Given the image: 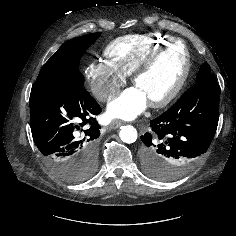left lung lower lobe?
Wrapping results in <instances>:
<instances>
[{
	"label": "left lung lower lobe",
	"instance_id": "1",
	"mask_svg": "<svg viewBox=\"0 0 236 236\" xmlns=\"http://www.w3.org/2000/svg\"><path fill=\"white\" fill-rule=\"evenodd\" d=\"M220 88L214 77L196 82L140 136L142 167L156 179L175 178L207 152L219 120Z\"/></svg>",
	"mask_w": 236,
	"mask_h": 236
}]
</instances>
